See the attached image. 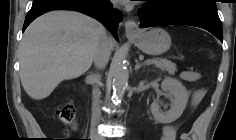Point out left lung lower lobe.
I'll use <instances>...</instances> for the list:
<instances>
[{
    "label": "left lung lower lobe",
    "instance_id": "0a47b994",
    "mask_svg": "<svg viewBox=\"0 0 236 140\" xmlns=\"http://www.w3.org/2000/svg\"><path fill=\"white\" fill-rule=\"evenodd\" d=\"M140 26L190 25L208 30L223 40L222 24L217 9L190 3L168 6L161 1H152L139 10Z\"/></svg>",
    "mask_w": 236,
    "mask_h": 140
}]
</instances>
